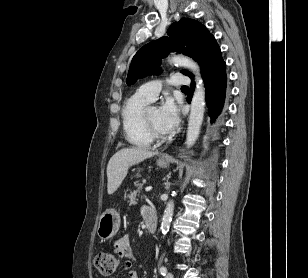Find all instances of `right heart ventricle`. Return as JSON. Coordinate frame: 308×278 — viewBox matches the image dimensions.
<instances>
[{
	"instance_id": "e07e8e85",
	"label": "right heart ventricle",
	"mask_w": 308,
	"mask_h": 278,
	"mask_svg": "<svg viewBox=\"0 0 308 278\" xmlns=\"http://www.w3.org/2000/svg\"><path fill=\"white\" fill-rule=\"evenodd\" d=\"M149 103V100L135 93L125 101L122 108L124 135L126 140L135 147L147 148L153 142L142 119L143 112Z\"/></svg>"
}]
</instances>
